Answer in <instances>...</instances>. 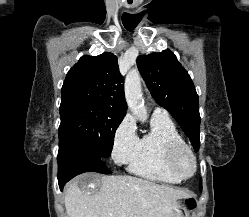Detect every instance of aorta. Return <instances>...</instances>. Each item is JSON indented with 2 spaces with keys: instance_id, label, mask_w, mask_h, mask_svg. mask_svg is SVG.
<instances>
[{
  "instance_id": "aorta-1",
  "label": "aorta",
  "mask_w": 249,
  "mask_h": 217,
  "mask_svg": "<svg viewBox=\"0 0 249 217\" xmlns=\"http://www.w3.org/2000/svg\"><path fill=\"white\" fill-rule=\"evenodd\" d=\"M124 88L128 108L141 123H144L147 120V109L144 105L141 77L138 70H131L127 74Z\"/></svg>"
}]
</instances>
